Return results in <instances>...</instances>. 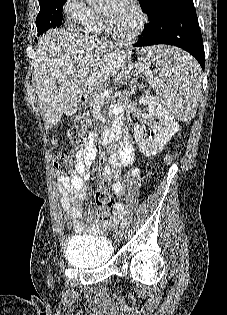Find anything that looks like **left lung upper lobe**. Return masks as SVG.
Listing matches in <instances>:
<instances>
[{
    "label": "left lung upper lobe",
    "mask_w": 227,
    "mask_h": 315,
    "mask_svg": "<svg viewBox=\"0 0 227 315\" xmlns=\"http://www.w3.org/2000/svg\"><path fill=\"white\" fill-rule=\"evenodd\" d=\"M190 2L193 0H139L142 11L147 13L150 20L169 7Z\"/></svg>",
    "instance_id": "1"
}]
</instances>
